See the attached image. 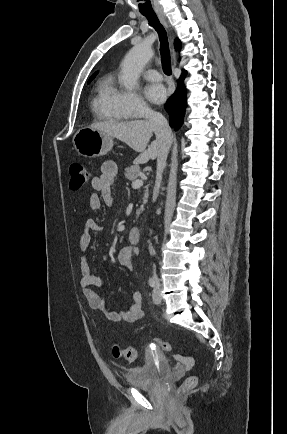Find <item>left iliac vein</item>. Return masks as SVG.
Masks as SVG:
<instances>
[{
    "label": "left iliac vein",
    "instance_id": "obj_1",
    "mask_svg": "<svg viewBox=\"0 0 287 434\" xmlns=\"http://www.w3.org/2000/svg\"><path fill=\"white\" fill-rule=\"evenodd\" d=\"M153 302L155 304H160L161 303V296H160V285L159 283H157L156 287L153 290Z\"/></svg>",
    "mask_w": 287,
    "mask_h": 434
}]
</instances>
